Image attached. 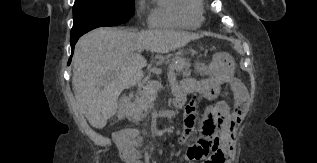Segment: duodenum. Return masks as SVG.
Here are the masks:
<instances>
[{"mask_svg":"<svg viewBox=\"0 0 317 163\" xmlns=\"http://www.w3.org/2000/svg\"><path fill=\"white\" fill-rule=\"evenodd\" d=\"M130 103H131L130 96L126 95V96L122 97V99L120 100L119 111H118V114H117V117L119 119H125L126 118L127 113L129 111V108H130Z\"/></svg>","mask_w":317,"mask_h":163,"instance_id":"1","label":"duodenum"}]
</instances>
